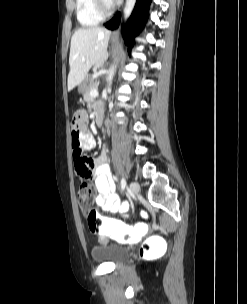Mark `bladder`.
<instances>
[{
    "instance_id": "obj_1",
    "label": "bladder",
    "mask_w": 247,
    "mask_h": 304,
    "mask_svg": "<svg viewBox=\"0 0 247 304\" xmlns=\"http://www.w3.org/2000/svg\"><path fill=\"white\" fill-rule=\"evenodd\" d=\"M129 255L127 248L117 245H101L92 248L91 256L99 263L119 264Z\"/></svg>"
}]
</instances>
